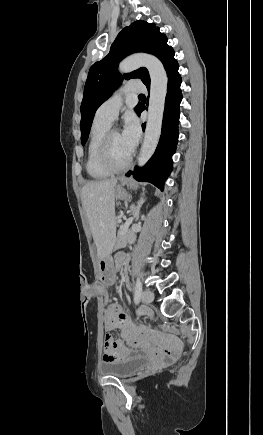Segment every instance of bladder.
<instances>
[{
	"instance_id": "obj_1",
	"label": "bladder",
	"mask_w": 263,
	"mask_h": 435,
	"mask_svg": "<svg viewBox=\"0 0 263 435\" xmlns=\"http://www.w3.org/2000/svg\"><path fill=\"white\" fill-rule=\"evenodd\" d=\"M148 364V359L144 356L131 355L126 359L114 362H107L100 368V372L105 376L120 379L128 378Z\"/></svg>"
}]
</instances>
